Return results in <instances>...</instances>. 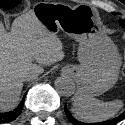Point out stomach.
Listing matches in <instances>:
<instances>
[{"instance_id":"stomach-1","label":"stomach","mask_w":125,"mask_h":125,"mask_svg":"<svg viewBox=\"0 0 125 125\" xmlns=\"http://www.w3.org/2000/svg\"><path fill=\"white\" fill-rule=\"evenodd\" d=\"M37 20L50 32L60 30L79 42L80 65L63 69L76 81L78 90L101 95L118 80L121 58L113 41L101 31L94 13L84 6L42 3L33 10Z\"/></svg>"}]
</instances>
